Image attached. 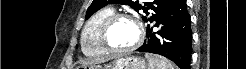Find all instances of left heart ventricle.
Masks as SVG:
<instances>
[{"label": "left heart ventricle", "instance_id": "obj_1", "mask_svg": "<svg viewBox=\"0 0 246 69\" xmlns=\"http://www.w3.org/2000/svg\"><path fill=\"white\" fill-rule=\"evenodd\" d=\"M138 32L135 24L126 19L117 21L109 32L110 44L118 49L131 46L137 40Z\"/></svg>", "mask_w": 246, "mask_h": 69}]
</instances>
